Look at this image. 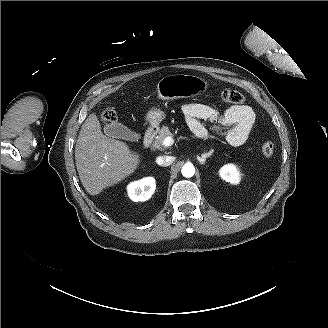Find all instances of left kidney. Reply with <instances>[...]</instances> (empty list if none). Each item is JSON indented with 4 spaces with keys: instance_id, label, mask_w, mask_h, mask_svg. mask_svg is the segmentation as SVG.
Here are the masks:
<instances>
[{
    "instance_id": "left-kidney-1",
    "label": "left kidney",
    "mask_w": 328,
    "mask_h": 328,
    "mask_svg": "<svg viewBox=\"0 0 328 328\" xmlns=\"http://www.w3.org/2000/svg\"><path fill=\"white\" fill-rule=\"evenodd\" d=\"M221 177L230 183H239V174L232 165L223 166L220 170Z\"/></svg>"
}]
</instances>
